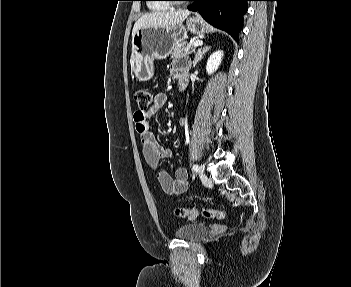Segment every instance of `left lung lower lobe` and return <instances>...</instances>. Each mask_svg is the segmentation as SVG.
<instances>
[{
    "instance_id": "1",
    "label": "left lung lower lobe",
    "mask_w": 351,
    "mask_h": 287,
    "mask_svg": "<svg viewBox=\"0 0 351 287\" xmlns=\"http://www.w3.org/2000/svg\"><path fill=\"white\" fill-rule=\"evenodd\" d=\"M194 3L188 10L198 11L211 25L228 32L236 41L243 27L247 1L251 0H189Z\"/></svg>"
}]
</instances>
